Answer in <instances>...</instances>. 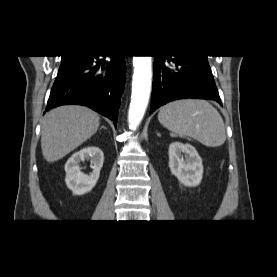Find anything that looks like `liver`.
Returning a JSON list of instances; mask_svg holds the SVG:
<instances>
[{
	"label": "liver",
	"instance_id": "liver-1",
	"mask_svg": "<svg viewBox=\"0 0 277 277\" xmlns=\"http://www.w3.org/2000/svg\"><path fill=\"white\" fill-rule=\"evenodd\" d=\"M93 110L68 105L48 112L41 126V149L47 162H55L92 137L99 127Z\"/></svg>",
	"mask_w": 277,
	"mask_h": 277
}]
</instances>
